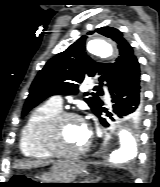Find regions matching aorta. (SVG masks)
Returning a JSON list of instances; mask_svg holds the SVG:
<instances>
[{"instance_id":"1","label":"aorta","mask_w":160,"mask_h":187,"mask_svg":"<svg viewBox=\"0 0 160 187\" xmlns=\"http://www.w3.org/2000/svg\"><path fill=\"white\" fill-rule=\"evenodd\" d=\"M87 50L101 58H107L113 54L111 43L101 37L92 39L87 45ZM118 139L119 146L113 149L108 157V161L112 164L122 163L133 158L137 150V139L131 131L121 129Z\"/></svg>"}]
</instances>
